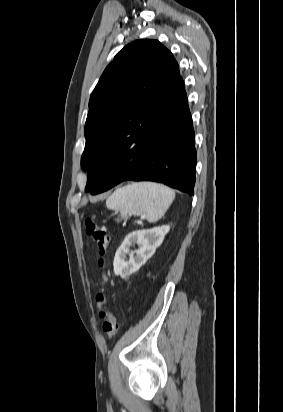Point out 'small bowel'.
I'll return each mask as SVG.
<instances>
[{"mask_svg": "<svg viewBox=\"0 0 283 412\" xmlns=\"http://www.w3.org/2000/svg\"><path fill=\"white\" fill-rule=\"evenodd\" d=\"M97 308H98V309H100V308H101V305H100L99 303L97 304Z\"/></svg>", "mask_w": 283, "mask_h": 412, "instance_id": "1", "label": "small bowel"}]
</instances>
